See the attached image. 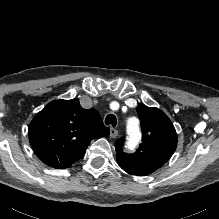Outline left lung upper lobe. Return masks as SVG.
I'll return each instance as SVG.
<instances>
[{"label":"left lung upper lobe","instance_id":"5c2ea615","mask_svg":"<svg viewBox=\"0 0 219 219\" xmlns=\"http://www.w3.org/2000/svg\"><path fill=\"white\" fill-rule=\"evenodd\" d=\"M142 128V144L133 154L124 153L122 139L115 144L119 166L131 175L146 176L161 168L177 147L176 130L167 115L144 104L137 107Z\"/></svg>","mask_w":219,"mask_h":219}]
</instances>
